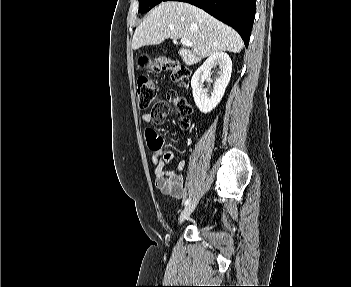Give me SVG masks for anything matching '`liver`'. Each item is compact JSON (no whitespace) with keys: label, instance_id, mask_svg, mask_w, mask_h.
I'll list each match as a JSON object with an SVG mask.
<instances>
[{"label":"liver","instance_id":"liver-1","mask_svg":"<svg viewBox=\"0 0 351 287\" xmlns=\"http://www.w3.org/2000/svg\"><path fill=\"white\" fill-rule=\"evenodd\" d=\"M169 38H185L193 44L188 46L191 49L179 50L186 65L215 52L239 53L243 48L242 38L234 29L194 5L176 1L162 2L146 16L135 30L132 48L157 45Z\"/></svg>","mask_w":351,"mask_h":287}]
</instances>
